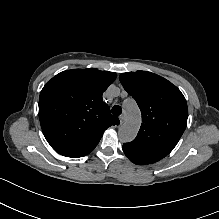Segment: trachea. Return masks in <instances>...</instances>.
<instances>
[{
	"instance_id": "1",
	"label": "trachea",
	"mask_w": 219,
	"mask_h": 219,
	"mask_svg": "<svg viewBox=\"0 0 219 219\" xmlns=\"http://www.w3.org/2000/svg\"><path fill=\"white\" fill-rule=\"evenodd\" d=\"M111 112L114 116H119L122 113V108L118 105L113 106V108L111 109Z\"/></svg>"
}]
</instances>
